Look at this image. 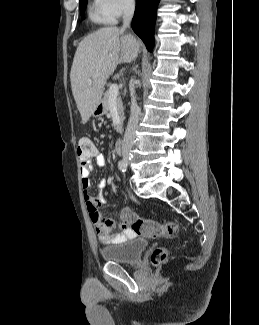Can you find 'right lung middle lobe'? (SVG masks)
Here are the masks:
<instances>
[{
	"instance_id": "obj_1",
	"label": "right lung middle lobe",
	"mask_w": 259,
	"mask_h": 325,
	"mask_svg": "<svg viewBox=\"0 0 259 325\" xmlns=\"http://www.w3.org/2000/svg\"><path fill=\"white\" fill-rule=\"evenodd\" d=\"M79 1H80V7H81V16L84 17V15H85L84 6L87 4L88 0H79Z\"/></svg>"
}]
</instances>
